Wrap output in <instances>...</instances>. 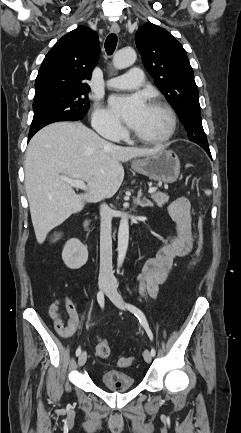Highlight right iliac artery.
<instances>
[{
    "instance_id": "obj_1",
    "label": "right iliac artery",
    "mask_w": 241,
    "mask_h": 433,
    "mask_svg": "<svg viewBox=\"0 0 241 433\" xmlns=\"http://www.w3.org/2000/svg\"><path fill=\"white\" fill-rule=\"evenodd\" d=\"M97 301H98V303L100 304L101 307L104 306V294H103L102 291L98 292V294H97ZM80 353H81V348L78 347L77 350H76V356H79Z\"/></svg>"
}]
</instances>
